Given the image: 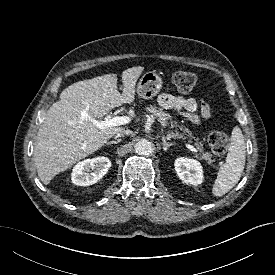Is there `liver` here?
Returning a JSON list of instances; mask_svg holds the SVG:
<instances>
[{
  "mask_svg": "<svg viewBox=\"0 0 275 275\" xmlns=\"http://www.w3.org/2000/svg\"><path fill=\"white\" fill-rule=\"evenodd\" d=\"M144 67L123 71V91L117 88V74H106L76 82L62 91L37 132L34 163L41 181L47 185L60 172L101 148L126 126L98 128L113 108L135 99V86ZM85 113L87 118H82Z\"/></svg>",
  "mask_w": 275,
  "mask_h": 275,
  "instance_id": "1",
  "label": "liver"
}]
</instances>
